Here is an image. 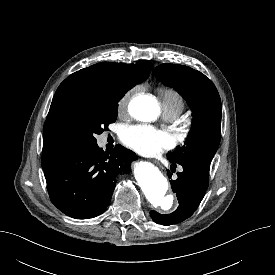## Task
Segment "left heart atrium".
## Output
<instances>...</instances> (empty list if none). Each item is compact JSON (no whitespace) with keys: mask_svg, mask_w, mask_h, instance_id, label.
<instances>
[{"mask_svg":"<svg viewBox=\"0 0 275 275\" xmlns=\"http://www.w3.org/2000/svg\"><path fill=\"white\" fill-rule=\"evenodd\" d=\"M121 138L128 147L144 155H156L175 144L169 133L148 125L126 126Z\"/></svg>","mask_w":275,"mask_h":275,"instance_id":"1","label":"left heart atrium"}]
</instances>
